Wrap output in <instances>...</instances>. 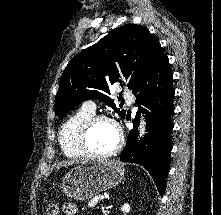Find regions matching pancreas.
Instances as JSON below:
<instances>
[{
  "label": "pancreas",
  "mask_w": 221,
  "mask_h": 215,
  "mask_svg": "<svg viewBox=\"0 0 221 215\" xmlns=\"http://www.w3.org/2000/svg\"><path fill=\"white\" fill-rule=\"evenodd\" d=\"M101 200L100 196H95L88 202V207H95Z\"/></svg>",
  "instance_id": "1"
}]
</instances>
